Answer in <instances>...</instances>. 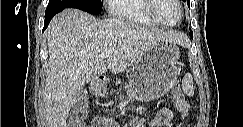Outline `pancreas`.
<instances>
[{
  "label": "pancreas",
  "mask_w": 243,
  "mask_h": 127,
  "mask_svg": "<svg viewBox=\"0 0 243 127\" xmlns=\"http://www.w3.org/2000/svg\"><path fill=\"white\" fill-rule=\"evenodd\" d=\"M119 84H121V80L116 81V85H119Z\"/></svg>",
  "instance_id": "1"
}]
</instances>
